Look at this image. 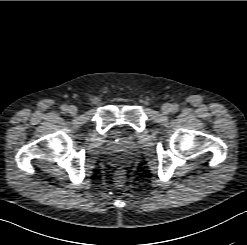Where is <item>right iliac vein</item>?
I'll list each match as a JSON object with an SVG mask.
<instances>
[{"label": "right iliac vein", "mask_w": 247, "mask_h": 245, "mask_svg": "<svg viewBox=\"0 0 247 245\" xmlns=\"http://www.w3.org/2000/svg\"><path fill=\"white\" fill-rule=\"evenodd\" d=\"M78 112V109L76 106L74 105H71L68 107V113L71 115V116H75Z\"/></svg>", "instance_id": "63e3f726"}]
</instances>
